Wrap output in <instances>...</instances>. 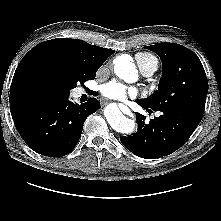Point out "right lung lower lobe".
Listing matches in <instances>:
<instances>
[{"instance_id":"right-lung-lower-lobe-1","label":"right lung lower lobe","mask_w":221,"mask_h":221,"mask_svg":"<svg viewBox=\"0 0 221 221\" xmlns=\"http://www.w3.org/2000/svg\"><path fill=\"white\" fill-rule=\"evenodd\" d=\"M100 108L96 98L81 105L61 98H22L11 107L16 128L35 152L60 157L78 143L86 118Z\"/></svg>"}]
</instances>
